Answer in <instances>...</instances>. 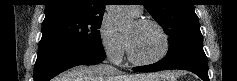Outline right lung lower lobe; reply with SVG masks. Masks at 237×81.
Here are the masks:
<instances>
[{
	"instance_id": "right-lung-lower-lobe-1",
	"label": "right lung lower lobe",
	"mask_w": 237,
	"mask_h": 81,
	"mask_svg": "<svg viewBox=\"0 0 237 81\" xmlns=\"http://www.w3.org/2000/svg\"><path fill=\"white\" fill-rule=\"evenodd\" d=\"M105 59L103 46H78L40 42L34 68V81H49L59 73L77 66L94 65Z\"/></svg>"
}]
</instances>
